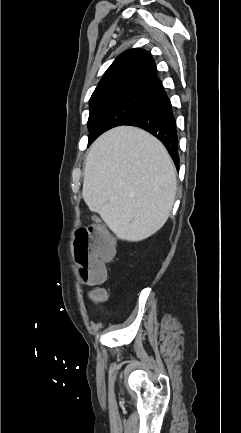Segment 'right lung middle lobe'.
<instances>
[{"label": "right lung middle lobe", "instance_id": "obj_1", "mask_svg": "<svg viewBox=\"0 0 241 433\" xmlns=\"http://www.w3.org/2000/svg\"><path fill=\"white\" fill-rule=\"evenodd\" d=\"M151 97L145 94H120L90 102L88 145L103 132L127 122L146 106Z\"/></svg>", "mask_w": 241, "mask_h": 433}]
</instances>
